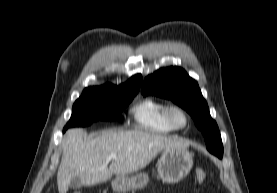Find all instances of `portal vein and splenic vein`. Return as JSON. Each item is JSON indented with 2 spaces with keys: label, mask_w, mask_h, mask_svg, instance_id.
Returning a JSON list of instances; mask_svg holds the SVG:
<instances>
[{
  "label": "portal vein and splenic vein",
  "mask_w": 277,
  "mask_h": 193,
  "mask_svg": "<svg viewBox=\"0 0 277 193\" xmlns=\"http://www.w3.org/2000/svg\"><path fill=\"white\" fill-rule=\"evenodd\" d=\"M117 158V155L115 153H112L110 156H109V159H116Z\"/></svg>",
  "instance_id": "1"
}]
</instances>
